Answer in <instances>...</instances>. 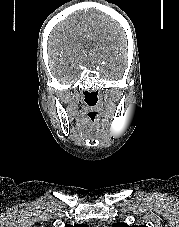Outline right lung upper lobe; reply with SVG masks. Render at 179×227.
<instances>
[{
	"mask_svg": "<svg viewBox=\"0 0 179 227\" xmlns=\"http://www.w3.org/2000/svg\"><path fill=\"white\" fill-rule=\"evenodd\" d=\"M65 227H89L87 224H76V225H69L66 224Z\"/></svg>",
	"mask_w": 179,
	"mask_h": 227,
	"instance_id": "obj_1",
	"label": "right lung upper lobe"
}]
</instances>
